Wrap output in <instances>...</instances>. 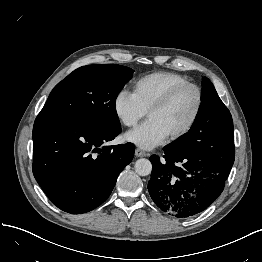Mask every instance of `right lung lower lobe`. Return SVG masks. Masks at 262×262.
Returning a JSON list of instances; mask_svg holds the SVG:
<instances>
[{"instance_id":"1","label":"right lung lower lobe","mask_w":262,"mask_h":262,"mask_svg":"<svg viewBox=\"0 0 262 262\" xmlns=\"http://www.w3.org/2000/svg\"><path fill=\"white\" fill-rule=\"evenodd\" d=\"M121 132L72 117L39 113L33 127V174L61 210L82 214L101 205L134 156L132 143L102 146Z\"/></svg>"}]
</instances>
